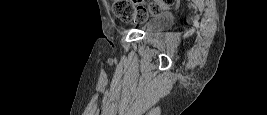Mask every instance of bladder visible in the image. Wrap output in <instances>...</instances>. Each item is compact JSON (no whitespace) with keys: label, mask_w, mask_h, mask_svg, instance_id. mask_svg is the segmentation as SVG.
<instances>
[{"label":"bladder","mask_w":267,"mask_h":115,"mask_svg":"<svg viewBox=\"0 0 267 115\" xmlns=\"http://www.w3.org/2000/svg\"><path fill=\"white\" fill-rule=\"evenodd\" d=\"M173 24V17L169 13H161L153 16L147 21L142 29L146 33H158L170 28Z\"/></svg>","instance_id":"1"}]
</instances>
